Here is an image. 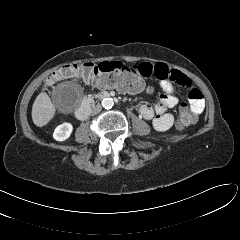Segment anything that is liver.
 <instances>
[{"label":"liver","mask_w":240,"mask_h":240,"mask_svg":"<svg viewBox=\"0 0 240 240\" xmlns=\"http://www.w3.org/2000/svg\"><path fill=\"white\" fill-rule=\"evenodd\" d=\"M55 111V107L47 93H40L32 106L33 123L38 127L45 126L54 117Z\"/></svg>","instance_id":"1"}]
</instances>
